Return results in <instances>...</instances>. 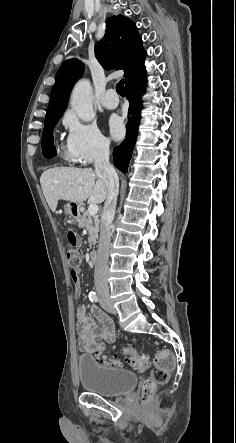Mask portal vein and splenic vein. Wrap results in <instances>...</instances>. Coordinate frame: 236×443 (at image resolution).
Masks as SVG:
<instances>
[{
	"label": "portal vein and splenic vein",
	"mask_w": 236,
	"mask_h": 443,
	"mask_svg": "<svg viewBox=\"0 0 236 443\" xmlns=\"http://www.w3.org/2000/svg\"><path fill=\"white\" fill-rule=\"evenodd\" d=\"M98 205L97 204H91L88 208V212L91 216H94L98 213Z\"/></svg>",
	"instance_id": "1"
}]
</instances>
